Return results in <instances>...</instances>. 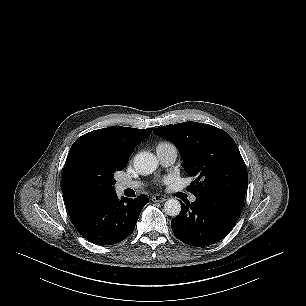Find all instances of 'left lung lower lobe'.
<instances>
[{"instance_id":"1","label":"left lung lower lobe","mask_w":306,"mask_h":306,"mask_svg":"<svg viewBox=\"0 0 306 306\" xmlns=\"http://www.w3.org/2000/svg\"><path fill=\"white\" fill-rule=\"evenodd\" d=\"M244 199L226 196H196L182 203L180 214L171 220L174 234L182 242L203 247L223 239L238 221Z\"/></svg>"}]
</instances>
